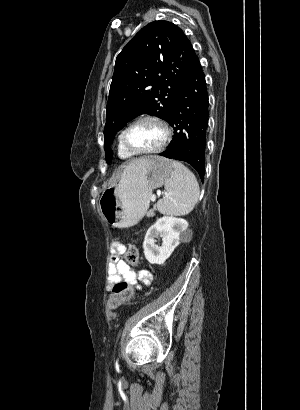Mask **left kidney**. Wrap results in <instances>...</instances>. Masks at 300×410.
Here are the masks:
<instances>
[{
    "mask_svg": "<svg viewBox=\"0 0 300 410\" xmlns=\"http://www.w3.org/2000/svg\"><path fill=\"white\" fill-rule=\"evenodd\" d=\"M188 222L183 218L163 216L146 232L143 242L145 258L151 264H163L180 244V236L187 229ZM161 237L162 244L156 245L155 238Z\"/></svg>",
    "mask_w": 300,
    "mask_h": 410,
    "instance_id": "left-kidney-1",
    "label": "left kidney"
}]
</instances>
